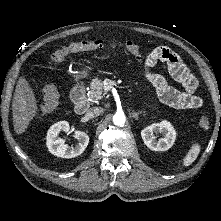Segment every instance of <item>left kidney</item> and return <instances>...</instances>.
Instances as JSON below:
<instances>
[{"label": "left kidney", "instance_id": "obj_1", "mask_svg": "<svg viewBox=\"0 0 221 221\" xmlns=\"http://www.w3.org/2000/svg\"><path fill=\"white\" fill-rule=\"evenodd\" d=\"M162 133L163 137L156 140L155 134ZM145 145L153 151H166L171 148L176 139V131L170 122L164 120L154 123L141 131Z\"/></svg>", "mask_w": 221, "mask_h": 221}]
</instances>
